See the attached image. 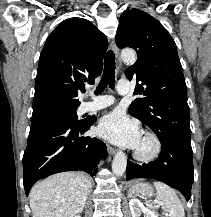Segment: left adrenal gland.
<instances>
[{"label": "left adrenal gland", "mask_w": 211, "mask_h": 217, "mask_svg": "<svg viewBox=\"0 0 211 217\" xmlns=\"http://www.w3.org/2000/svg\"><path fill=\"white\" fill-rule=\"evenodd\" d=\"M132 193L130 191H128V198L132 197Z\"/></svg>", "instance_id": "a2214340"}]
</instances>
